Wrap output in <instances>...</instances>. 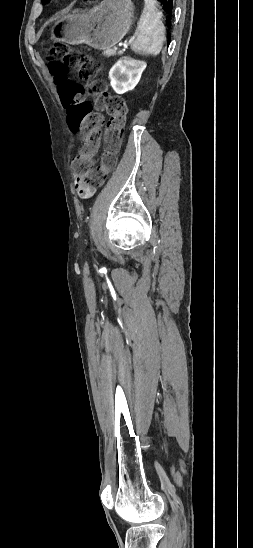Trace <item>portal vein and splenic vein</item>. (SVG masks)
I'll use <instances>...</instances> for the list:
<instances>
[{"mask_svg":"<svg viewBox=\"0 0 253 548\" xmlns=\"http://www.w3.org/2000/svg\"><path fill=\"white\" fill-rule=\"evenodd\" d=\"M136 35H133L131 38H130V42H132L134 39H135ZM127 46V44H124L122 49L118 50V53H123L124 51V48Z\"/></svg>","mask_w":253,"mask_h":548,"instance_id":"portal-vein-and-splenic-vein-1","label":"portal vein and splenic vein"}]
</instances>
